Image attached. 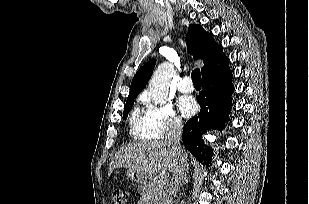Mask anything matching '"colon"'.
Listing matches in <instances>:
<instances>
[{
    "instance_id": "1",
    "label": "colon",
    "mask_w": 309,
    "mask_h": 204,
    "mask_svg": "<svg viewBox=\"0 0 309 204\" xmlns=\"http://www.w3.org/2000/svg\"><path fill=\"white\" fill-rule=\"evenodd\" d=\"M114 204H126L127 192L123 190H115L113 192Z\"/></svg>"
}]
</instances>
